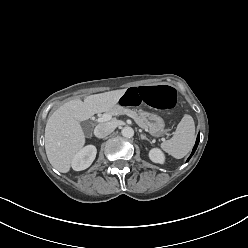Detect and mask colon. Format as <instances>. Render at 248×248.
I'll return each mask as SVG.
<instances>
[{
    "label": "colon",
    "mask_w": 248,
    "mask_h": 248,
    "mask_svg": "<svg viewBox=\"0 0 248 248\" xmlns=\"http://www.w3.org/2000/svg\"><path fill=\"white\" fill-rule=\"evenodd\" d=\"M120 103L124 107L149 104L160 110H170L177 104V93L168 85L134 87L121 96Z\"/></svg>",
    "instance_id": "colon-1"
}]
</instances>
